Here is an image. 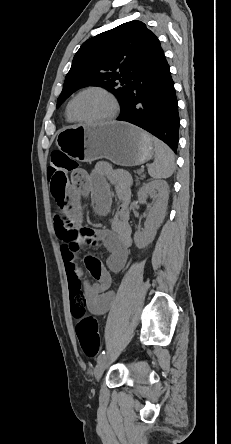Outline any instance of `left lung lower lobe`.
Masks as SVG:
<instances>
[{
  "instance_id": "left-lung-lower-lobe-1",
  "label": "left lung lower lobe",
  "mask_w": 231,
  "mask_h": 444,
  "mask_svg": "<svg viewBox=\"0 0 231 444\" xmlns=\"http://www.w3.org/2000/svg\"><path fill=\"white\" fill-rule=\"evenodd\" d=\"M117 120L128 121L163 140L176 152L179 114L174 82L162 48L139 71Z\"/></svg>"
}]
</instances>
